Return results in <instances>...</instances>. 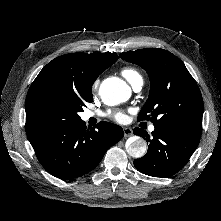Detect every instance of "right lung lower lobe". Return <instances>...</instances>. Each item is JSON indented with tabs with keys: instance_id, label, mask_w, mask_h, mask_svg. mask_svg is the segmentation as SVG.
<instances>
[{
	"instance_id": "obj_1",
	"label": "right lung lower lobe",
	"mask_w": 221,
	"mask_h": 221,
	"mask_svg": "<svg viewBox=\"0 0 221 221\" xmlns=\"http://www.w3.org/2000/svg\"><path fill=\"white\" fill-rule=\"evenodd\" d=\"M36 156L47 172L69 180L92 171L107 149L123 138V129L101 121L87 128L80 120L71 124L38 125L26 129Z\"/></svg>"
}]
</instances>
